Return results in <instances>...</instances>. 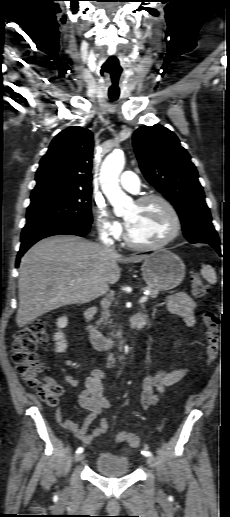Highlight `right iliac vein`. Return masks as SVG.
I'll list each match as a JSON object with an SVG mask.
<instances>
[{
	"instance_id": "right-iliac-vein-1",
	"label": "right iliac vein",
	"mask_w": 230,
	"mask_h": 517,
	"mask_svg": "<svg viewBox=\"0 0 230 517\" xmlns=\"http://www.w3.org/2000/svg\"><path fill=\"white\" fill-rule=\"evenodd\" d=\"M85 457V454L84 453H80V454H77L74 458V461L77 463V462H80L84 459Z\"/></svg>"
}]
</instances>
